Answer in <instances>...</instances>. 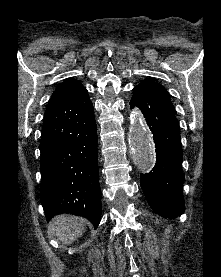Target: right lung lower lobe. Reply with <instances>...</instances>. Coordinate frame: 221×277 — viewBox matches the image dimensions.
I'll return each instance as SVG.
<instances>
[{"mask_svg":"<svg viewBox=\"0 0 221 277\" xmlns=\"http://www.w3.org/2000/svg\"><path fill=\"white\" fill-rule=\"evenodd\" d=\"M41 152V203L49 221L70 213L101 220L97 130L87 90L50 101L44 117Z\"/></svg>","mask_w":221,"mask_h":277,"instance_id":"1","label":"right lung lower lobe"}]
</instances>
